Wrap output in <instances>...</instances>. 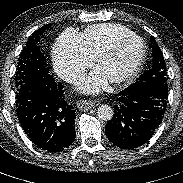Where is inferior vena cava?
I'll return each instance as SVG.
<instances>
[{"instance_id": "inferior-vena-cava-1", "label": "inferior vena cava", "mask_w": 183, "mask_h": 183, "mask_svg": "<svg viewBox=\"0 0 183 183\" xmlns=\"http://www.w3.org/2000/svg\"><path fill=\"white\" fill-rule=\"evenodd\" d=\"M77 75H75V74H72L71 75V77H70V81L72 82V81H75V80H77V77H76Z\"/></svg>"}]
</instances>
